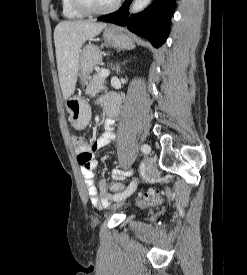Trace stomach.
I'll return each instance as SVG.
<instances>
[{"instance_id":"stomach-1","label":"stomach","mask_w":247,"mask_h":275,"mask_svg":"<svg viewBox=\"0 0 247 275\" xmlns=\"http://www.w3.org/2000/svg\"><path fill=\"white\" fill-rule=\"evenodd\" d=\"M107 44H112L118 49H133L135 47L132 39L124 35L119 28L109 27L103 33ZM102 55L98 47L89 43L80 53L79 69L80 81L86 84L93 67L99 64ZM66 109L69 113L70 122L75 129H84L90 122L91 111L88 103L80 96L69 97L66 102Z\"/></svg>"}]
</instances>
